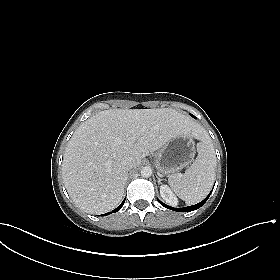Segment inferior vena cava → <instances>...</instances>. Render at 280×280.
<instances>
[{
    "label": "inferior vena cava",
    "instance_id": "602c4592",
    "mask_svg": "<svg viewBox=\"0 0 280 280\" xmlns=\"http://www.w3.org/2000/svg\"><path fill=\"white\" fill-rule=\"evenodd\" d=\"M123 166L127 171H129L135 167V159L132 156L125 157L123 160Z\"/></svg>",
    "mask_w": 280,
    "mask_h": 280
}]
</instances>
